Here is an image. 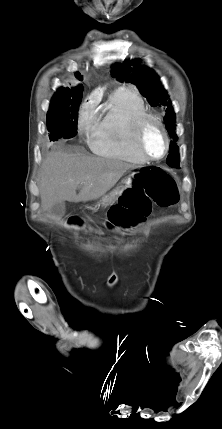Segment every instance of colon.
I'll use <instances>...</instances> for the list:
<instances>
[{"label": "colon", "mask_w": 222, "mask_h": 429, "mask_svg": "<svg viewBox=\"0 0 222 429\" xmlns=\"http://www.w3.org/2000/svg\"><path fill=\"white\" fill-rule=\"evenodd\" d=\"M178 200L172 176L161 167L144 165L134 174L132 186L110 208L107 226H134L151 213L153 205L167 208Z\"/></svg>", "instance_id": "colon-1"}]
</instances>
